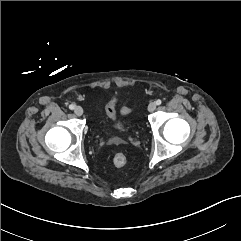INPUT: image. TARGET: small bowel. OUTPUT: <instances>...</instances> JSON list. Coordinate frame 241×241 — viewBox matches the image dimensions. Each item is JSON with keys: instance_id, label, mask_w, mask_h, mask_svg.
Segmentation results:
<instances>
[{"instance_id": "small-bowel-1", "label": "small bowel", "mask_w": 241, "mask_h": 241, "mask_svg": "<svg viewBox=\"0 0 241 241\" xmlns=\"http://www.w3.org/2000/svg\"><path fill=\"white\" fill-rule=\"evenodd\" d=\"M107 112H108V115H109L110 117H113V115H114V112H113V111L107 109Z\"/></svg>"}]
</instances>
